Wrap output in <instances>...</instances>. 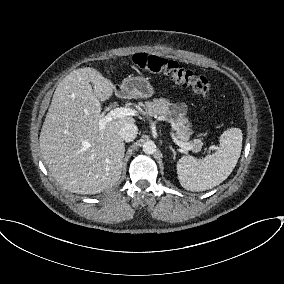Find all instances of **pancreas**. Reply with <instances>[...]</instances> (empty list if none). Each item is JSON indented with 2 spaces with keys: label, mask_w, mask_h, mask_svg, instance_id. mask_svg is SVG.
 I'll list each match as a JSON object with an SVG mask.
<instances>
[{
  "label": "pancreas",
  "mask_w": 284,
  "mask_h": 284,
  "mask_svg": "<svg viewBox=\"0 0 284 284\" xmlns=\"http://www.w3.org/2000/svg\"><path fill=\"white\" fill-rule=\"evenodd\" d=\"M144 109L150 116L159 117L161 120L172 123L176 128L178 140L193 145V150H199L202 147L203 142L200 139L189 141L191 129L188 118L185 117L187 111L185 104L177 105L170 103L165 98H160L147 101Z\"/></svg>",
  "instance_id": "pancreas-1"
}]
</instances>
